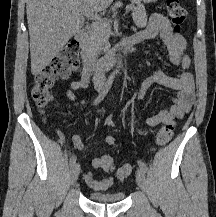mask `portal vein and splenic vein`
<instances>
[{
    "label": "portal vein and splenic vein",
    "mask_w": 216,
    "mask_h": 217,
    "mask_svg": "<svg viewBox=\"0 0 216 217\" xmlns=\"http://www.w3.org/2000/svg\"><path fill=\"white\" fill-rule=\"evenodd\" d=\"M133 9V6L132 5H127L126 6V11H130V10H132ZM85 15L87 16V17H90V18H94V19H97V20H100L101 18L98 16V14L97 13H93V12H86L85 13Z\"/></svg>",
    "instance_id": "1"
}]
</instances>
